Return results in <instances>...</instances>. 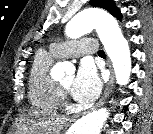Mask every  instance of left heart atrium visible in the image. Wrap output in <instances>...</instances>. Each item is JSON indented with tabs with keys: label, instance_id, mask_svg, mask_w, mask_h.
<instances>
[{
	"label": "left heart atrium",
	"instance_id": "obj_1",
	"mask_svg": "<svg viewBox=\"0 0 153 134\" xmlns=\"http://www.w3.org/2000/svg\"><path fill=\"white\" fill-rule=\"evenodd\" d=\"M102 81L96 69L89 63H82L70 87L73 97L82 103H90L101 92Z\"/></svg>",
	"mask_w": 153,
	"mask_h": 134
}]
</instances>
